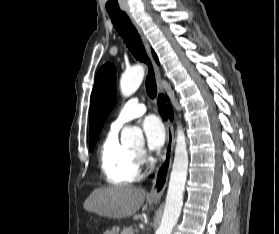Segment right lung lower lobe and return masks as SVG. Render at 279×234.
I'll list each match as a JSON object with an SVG mask.
<instances>
[{
  "label": "right lung lower lobe",
  "instance_id": "obj_1",
  "mask_svg": "<svg viewBox=\"0 0 279 234\" xmlns=\"http://www.w3.org/2000/svg\"><path fill=\"white\" fill-rule=\"evenodd\" d=\"M165 102H166V97H164L163 95H159V97H158L159 113L161 114V116L164 119H167V118L172 119L173 118L172 108H171V106L165 105Z\"/></svg>",
  "mask_w": 279,
  "mask_h": 234
}]
</instances>
